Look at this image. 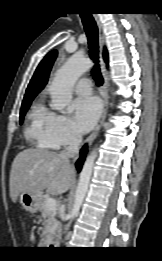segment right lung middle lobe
<instances>
[{
	"label": "right lung middle lobe",
	"instance_id": "dd1d6c3e",
	"mask_svg": "<svg viewBox=\"0 0 162 261\" xmlns=\"http://www.w3.org/2000/svg\"><path fill=\"white\" fill-rule=\"evenodd\" d=\"M32 100L24 101L22 102L21 111H20V124L22 123L24 119V115L26 114L27 110L30 107Z\"/></svg>",
	"mask_w": 162,
	"mask_h": 261
}]
</instances>
